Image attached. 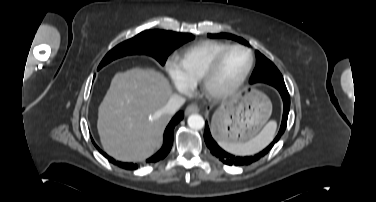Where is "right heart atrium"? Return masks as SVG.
<instances>
[{"instance_id":"right-heart-atrium-1","label":"right heart atrium","mask_w":376,"mask_h":202,"mask_svg":"<svg viewBox=\"0 0 376 202\" xmlns=\"http://www.w3.org/2000/svg\"><path fill=\"white\" fill-rule=\"evenodd\" d=\"M166 68L175 88L183 94L189 93L190 87L186 85L181 79L178 69L173 60H169L167 62Z\"/></svg>"}]
</instances>
